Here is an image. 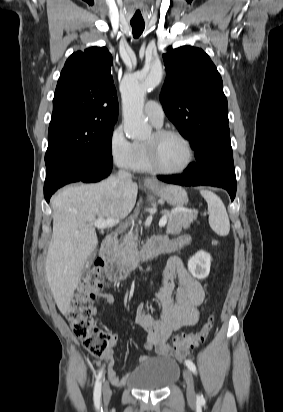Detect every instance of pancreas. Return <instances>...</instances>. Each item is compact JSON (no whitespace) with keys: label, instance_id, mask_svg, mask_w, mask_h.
<instances>
[{"label":"pancreas","instance_id":"pancreas-1","mask_svg":"<svg viewBox=\"0 0 283 412\" xmlns=\"http://www.w3.org/2000/svg\"><path fill=\"white\" fill-rule=\"evenodd\" d=\"M197 210L191 212H176L168 214L167 234H178L182 229H188L197 218ZM138 246V231L132 230L125 234L123 240L116 248L118 260L122 264L130 263Z\"/></svg>","mask_w":283,"mask_h":412}]
</instances>
